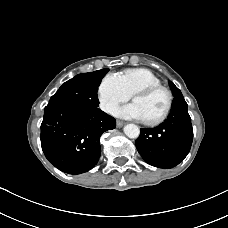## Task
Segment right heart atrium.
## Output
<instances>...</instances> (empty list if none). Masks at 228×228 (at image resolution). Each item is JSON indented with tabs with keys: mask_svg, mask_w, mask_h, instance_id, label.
I'll return each instance as SVG.
<instances>
[{
	"mask_svg": "<svg viewBox=\"0 0 228 228\" xmlns=\"http://www.w3.org/2000/svg\"><path fill=\"white\" fill-rule=\"evenodd\" d=\"M97 97L100 109L105 113H111L117 105L129 100L130 95L124 89L119 75L110 73L100 81Z\"/></svg>",
	"mask_w": 228,
	"mask_h": 228,
	"instance_id": "right-heart-atrium-1",
	"label": "right heart atrium"
}]
</instances>
